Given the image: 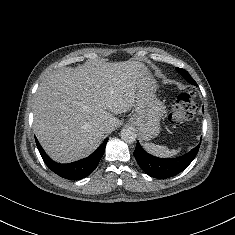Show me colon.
<instances>
[{
	"instance_id": "colon-1",
	"label": "colon",
	"mask_w": 235,
	"mask_h": 235,
	"mask_svg": "<svg viewBox=\"0 0 235 235\" xmlns=\"http://www.w3.org/2000/svg\"><path fill=\"white\" fill-rule=\"evenodd\" d=\"M195 94L191 91L179 95L171 104L169 122L175 126L191 120L196 113Z\"/></svg>"
}]
</instances>
